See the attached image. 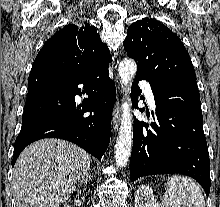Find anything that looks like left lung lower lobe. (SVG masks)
<instances>
[{
    "label": "left lung lower lobe",
    "instance_id": "obj_1",
    "mask_svg": "<svg viewBox=\"0 0 220 207\" xmlns=\"http://www.w3.org/2000/svg\"><path fill=\"white\" fill-rule=\"evenodd\" d=\"M142 79L147 77L136 74L132 86L136 108V97L141 93L138 81ZM150 85L157 122L149 126L134 119L131 181L147 175L180 173L198 181L208 196L210 160L196 80L175 77Z\"/></svg>",
    "mask_w": 220,
    "mask_h": 207
}]
</instances>
